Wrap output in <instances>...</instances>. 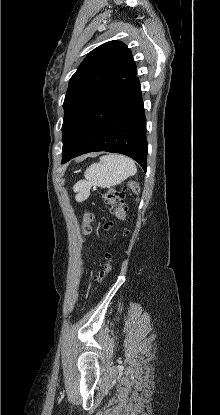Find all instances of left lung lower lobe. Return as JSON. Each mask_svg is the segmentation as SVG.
Returning <instances> with one entry per match:
<instances>
[{"label": "left lung lower lobe", "instance_id": "obj_1", "mask_svg": "<svg viewBox=\"0 0 220 415\" xmlns=\"http://www.w3.org/2000/svg\"><path fill=\"white\" fill-rule=\"evenodd\" d=\"M94 151L129 156L146 172V118L136 75L115 80L102 92L62 153V163Z\"/></svg>", "mask_w": 220, "mask_h": 415}]
</instances>
